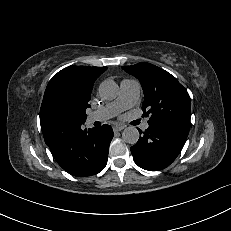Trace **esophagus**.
<instances>
[{"label":"esophagus","mask_w":231,"mask_h":231,"mask_svg":"<svg viewBox=\"0 0 231 231\" xmlns=\"http://www.w3.org/2000/svg\"><path fill=\"white\" fill-rule=\"evenodd\" d=\"M124 128H125L124 125H116V126L113 127V131L114 132H119V131H122Z\"/></svg>","instance_id":"34e87169"}]
</instances>
